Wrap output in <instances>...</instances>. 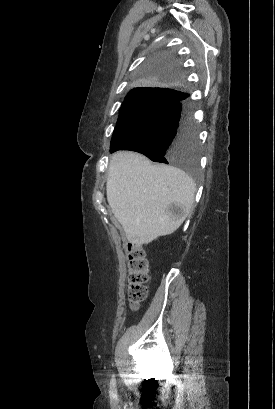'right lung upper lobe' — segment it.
<instances>
[{
  "label": "right lung upper lobe",
  "instance_id": "obj_1",
  "mask_svg": "<svg viewBox=\"0 0 275 409\" xmlns=\"http://www.w3.org/2000/svg\"><path fill=\"white\" fill-rule=\"evenodd\" d=\"M153 91H162V90H137V88H135V89H132L129 93H128V95H130V94H135V93H142V92H153ZM127 95V96H128Z\"/></svg>",
  "mask_w": 275,
  "mask_h": 409
}]
</instances>
